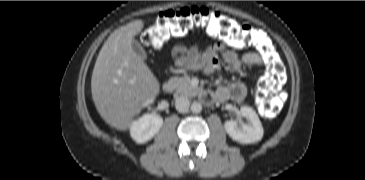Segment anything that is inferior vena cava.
<instances>
[{
	"label": "inferior vena cava",
	"mask_w": 365,
	"mask_h": 180,
	"mask_svg": "<svg viewBox=\"0 0 365 180\" xmlns=\"http://www.w3.org/2000/svg\"><path fill=\"white\" fill-rule=\"evenodd\" d=\"M190 101L186 96H179L175 100L176 110L180 113H185L189 110Z\"/></svg>",
	"instance_id": "inferior-vena-cava-1"
}]
</instances>
